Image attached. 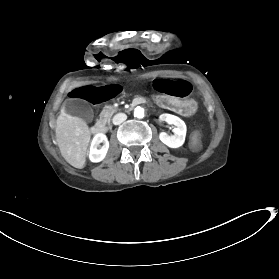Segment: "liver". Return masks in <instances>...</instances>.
I'll list each match as a JSON object with an SVG mask.
<instances>
[{
    "label": "liver",
    "mask_w": 279,
    "mask_h": 279,
    "mask_svg": "<svg viewBox=\"0 0 279 279\" xmlns=\"http://www.w3.org/2000/svg\"><path fill=\"white\" fill-rule=\"evenodd\" d=\"M56 124V141L61 155L73 167L83 168L91 137L87 124L81 118L67 114L65 106H62Z\"/></svg>",
    "instance_id": "1"
}]
</instances>
